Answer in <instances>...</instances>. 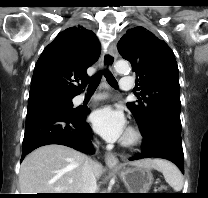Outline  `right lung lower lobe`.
Masks as SVG:
<instances>
[{"label": "right lung lower lobe", "instance_id": "obj_1", "mask_svg": "<svg viewBox=\"0 0 208 198\" xmlns=\"http://www.w3.org/2000/svg\"><path fill=\"white\" fill-rule=\"evenodd\" d=\"M89 109L72 112L65 109H40L27 113L22 158L34 149L59 144L92 153V131L85 118Z\"/></svg>", "mask_w": 208, "mask_h": 198}]
</instances>
